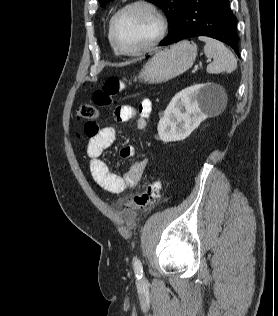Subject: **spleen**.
<instances>
[{
	"label": "spleen",
	"instance_id": "spleen-1",
	"mask_svg": "<svg viewBox=\"0 0 278 316\" xmlns=\"http://www.w3.org/2000/svg\"><path fill=\"white\" fill-rule=\"evenodd\" d=\"M199 40L205 42V56L213 58V62L207 66L209 73H230L237 68V60L234 54L223 43L205 36H200Z\"/></svg>",
	"mask_w": 278,
	"mask_h": 316
}]
</instances>
